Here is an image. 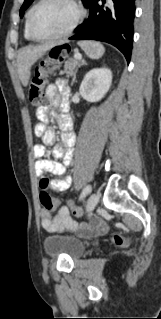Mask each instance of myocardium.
<instances>
[{
	"mask_svg": "<svg viewBox=\"0 0 161 319\" xmlns=\"http://www.w3.org/2000/svg\"><path fill=\"white\" fill-rule=\"evenodd\" d=\"M49 0H39V2L34 6V8L32 9L29 19H28V34L30 36V38L32 40L35 41H52V40H57L60 38H63L67 35H69L78 25V23L80 22V20L82 19L84 12H83V8L80 5V3L78 2V0H66L67 2H69L72 7L74 8V17L71 20V22L69 23V25L60 33L52 35V36H48V37H39L37 35H35L34 31H33V19L37 13V11L39 10V8L46 3Z\"/></svg>",
	"mask_w": 161,
	"mask_h": 319,
	"instance_id": "1",
	"label": "myocardium"
}]
</instances>
